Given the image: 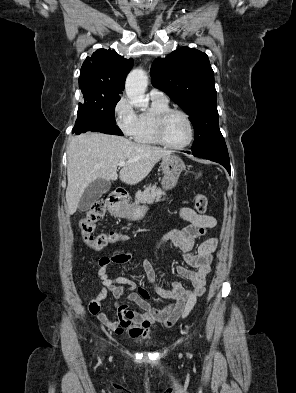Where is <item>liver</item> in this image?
<instances>
[{"label": "liver", "instance_id": "obj_1", "mask_svg": "<svg viewBox=\"0 0 296 393\" xmlns=\"http://www.w3.org/2000/svg\"><path fill=\"white\" fill-rule=\"evenodd\" d=\"M172 151L138 144L124 137L103 133H85L72 137L67 148L68 214L76 212L85 189L96 179L116 180L120 161L122 182L135 185L142 181L155 164Z\"/></svg>", "mask_w": 296, "mask_h": 393}]
</instances>
